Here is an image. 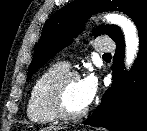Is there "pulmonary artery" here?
Returning <instances> with one entry per match:
<instances>
[{
    "label": "pulmonary artery",
    "mask_w": 147,
    "mask_h": 131,
    "mask_svg": "<svg viewBox=\"0 0 147 131\" xmlns=\"http://www.w3.org/2000/svg\"><path fill=\"white\" fill-rule=\"evenodd\" d=\"M114 48H115L114 43L109 40H98L95 43V50L98 53H107L114 50ZM63 64L68 67V63H63Z\"/></svg>",
    "instance_id": "e3ab8cb5"
}]
</instances>
